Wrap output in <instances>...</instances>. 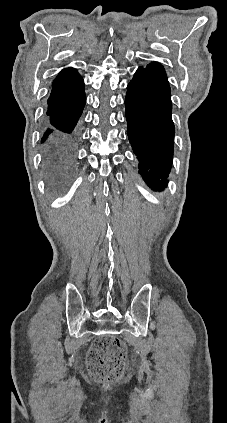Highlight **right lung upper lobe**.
Instances as JSON below:
<instances>
[{
	"label": "right lung upper lobe",
	"mask_w": 227,
	"mask_h": 423,
	"mask_svg": "<svg viewBox=\"0 0 227 423\" xmlns=\"http://www.w3.org/2000/svg\"><path fill=\"white\" fill-rule=\"evenodd\" d=\"M52 86L53 91L65 94L80 93L84 90L82 77L72 68L60 72Z\"/></svg>",
	"instance_id": "right-lung-upper-lobe-1"
}]
</instances>
